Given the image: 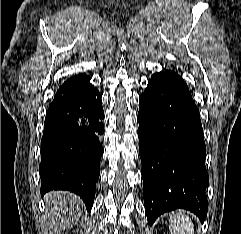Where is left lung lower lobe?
Listing matches in <instances>:
<instances>
[{
	"mask_svg": "<svg viewBox=\"0 0 241 234\" xmlns=\"http://www.w3.org/2000/svg\"><path fill=\"white\" fill-rule=\"evenodd\" d=\"M138 137L148 223L186 209L207 216L209 185L199 110L174 71L155 73L139 98Z\"/></svg>",
	"mask_w": 241,
	"mask_h": 234,
	"instance_id": "obj_1",
	"label": "left lung lower lobe"
}]
</instances>
